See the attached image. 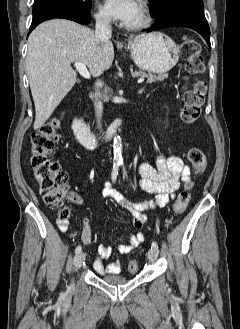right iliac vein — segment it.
Listing matches in <instances>:
<instances>
[{
  "instance_id": "1",
  "label": "right iliac vein",
  "mask_w": 240,
  "mask_h": 329,
  "mask_svg": "<svg viewBox=\"0 0 240 329\" xmlns=\"http://www.w3.org/2000/svg\"><path fill=\"white\" fill-rule=\"evenodd\" d=\"M85 260V254L83 252H80L76 255L74 259V267L75 269H78L82 266L83 262Z\"/></svg>"
}]
</instances>
